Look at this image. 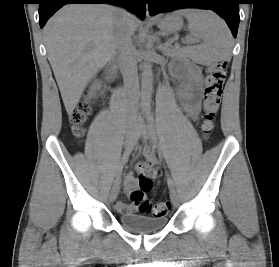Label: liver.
Listing matches in <instances>:
<instances>
[{"instance_id":"obj_1","label":"liver","mask_w":279,"mask_h":267,"mask_svg":"<svg viewBox=\"0 0 279 267\" xmlns=\"http://www.w3.org/2000/svg\"><path fill=\"white\" fill-rule=\"evenodd\" d=\"M121 9L106 4H70L46 23L43 33L48 60L68 115L89 80L114 56L115 28ZM134 31L139 21L130 16Z\"/></svg>"}]
</instances>
